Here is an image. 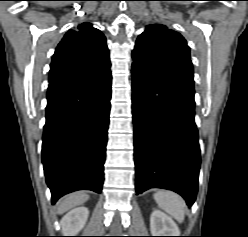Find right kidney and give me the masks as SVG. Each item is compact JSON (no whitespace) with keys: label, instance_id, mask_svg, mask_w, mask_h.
Here are the masks:
<instances>
[{"label":"right kidney","instance_id":"right-kidney-1","mask_svg":"<svg viewBox=\"0 0 248 237\" xmlns=\"http://www.w3.org/2000/svg\"><path fill=\"white\" fill-rule=\"evenodd\" d=\"M89 216L88 208L81 206L70 210L60 222L64 236H76L83 229Z\"/></svg>","mask_w":248,"mask_h":237}]
</instances>
